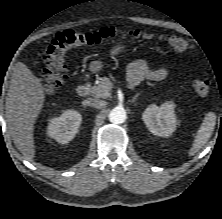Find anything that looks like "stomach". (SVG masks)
Wrapping results in <instances>:
<instances>
[{
	"instance_id": "obj_1",
	"label": "stomach",
	"mask_w": 222,
	"mask_h": 219,
	"mask_svg": "<svg viewBox=\"0 0 222 219\" xmlns=\"http://www.w3.org/2000/svg\"><path fill=\"white\" fill-rule=\"evenodd\" d=\"M124 51H125V46L123 44H118V45L114 46L110 52L112 55H118V54L123 53ZM102 67H103L102 62L93 61L90 64V71L98 72L102 69Z\"/></svg>"
}]
</instances>
